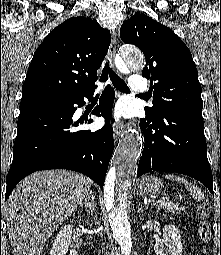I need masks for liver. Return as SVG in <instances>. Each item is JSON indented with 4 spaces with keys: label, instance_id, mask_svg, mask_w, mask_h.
Instances as JSON below:
<instances>
[{
    "label": "liver",
    "instance_id": "liver-1",
    "mask_svg": "<svg viewBox=\"0 0 221 255\" xmlns=\"http://www.w3.org/2000/svg\"><path fill=\"white\" fill-rule=\"evenodd\" d=\"M91 184L90 178L67 170L39 171L23 179L3 206L13 255H40Z\"/></svg>",
    "mask_w": 221,
    "mask_h": 255
}]
</instances>
